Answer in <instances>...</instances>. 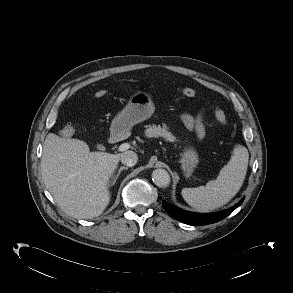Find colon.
<instances>
[{
    "label": "colon",
    "mask_w": 293,
    "mask_h": 293,
    "mask_svg": "<svg viewBox=\"0 0 293 293\" xmlns=\"http://www.w3.org/2000/svg\"><path fill=\"white\" fill-rule=\"evenodd\" d=\"M106 93H107L106 90H98L95 92V97L101 98V97L105 96ZM181 94L186 97H189V98L196 96L195 90H193L191 88L181 89ZM213 112H214V116H215L216 120L220 124L225 125L227 123V116H226L225 112L220 107H218V106L214 107ZM74 132H75L74 128L70 125H67L61 129L60 134L65 138H69V137L73 136Z\"/></svg>",
    "instance_id": "5ec220e1"
}]
</instances>
